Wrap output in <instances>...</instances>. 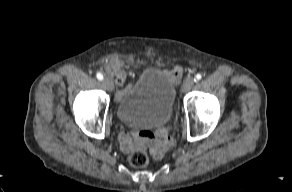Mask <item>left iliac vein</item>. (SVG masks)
Returning a JSON list of instances; mask_svg holds the SVG:
<instances>
[{
  "label": "left iliac vein",
  "instance_id": "left-iliac-vein-1",
  "mask_svg": "<svg viewBox=\"0 0 292 192\" xmlns=\"http://www.w3.org/2000/svg\"><path fill=\"white\" fill-rule=\"evenodd\" d=\"M193 84H194V78L191 76H188L184 80L183 85H182L183 92L189 91L192 88Z\"/></svg>",
  "mask_w": 292,
  "mask_h": 192
}]
</instances>
